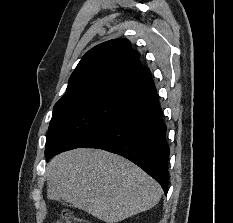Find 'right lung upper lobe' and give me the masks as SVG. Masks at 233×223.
<instances>
[{
  "mask_svg": "<svg viewBox=\"0 0 233 223\" xmlns=\"http://www.w3.org/2000/svg\"><path fill=\"white\" fill-rule=\"evenodd\" d=\"M140 54L127 39H114L89 50L72 73L64 96L97 90L124 91L151 79Z\"/></svg>",
  "mask_w": 233,
  "mask_h": 223,
  "instance_id": "cb5924a9",
  "label": "right lung upper lobe"
}]
</instances>
